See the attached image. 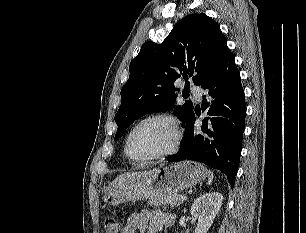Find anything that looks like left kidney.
I'll return each instance as SVG.
<instances>
[{
    "instance_id": "1",
    "label": "left kidney",
    "mask_w": 306,
    "mask_h": 233,
    "mask_svg": "<svg viewBox=\"0 0 306 233\" xmlns=\"http://www.w3.org/2000/svg\"><path fill=\"white\" fill-rule=\"evenodd\" d=\"M223 195L218 192H209L198 197L191 207V215L198 219L195 233H207L220 211Z\"/></svg>"
}]
</instances>
